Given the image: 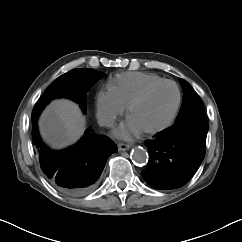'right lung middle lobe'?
Segmentation results:
<instances>
[{
    "label": "right lung middle lobe",
    "instance_id": "1",
    "mask_svg": "<svg viewBox=\"0 0 242 242\" xmlns=\"http://www.w3.org/2000/svg\"><path fill=\"white\" fill-rule=\"evenodd\" d=\"M103 76L89 68H78L58 77L37 101L32 119L38 118L45 106L56 98H70L86 112V92Z\"/></svg>",
    "mask_w": 242,
    "mask_h": 242
}]
</instances>
